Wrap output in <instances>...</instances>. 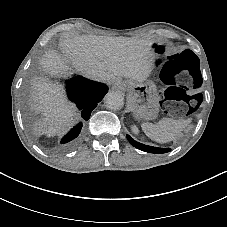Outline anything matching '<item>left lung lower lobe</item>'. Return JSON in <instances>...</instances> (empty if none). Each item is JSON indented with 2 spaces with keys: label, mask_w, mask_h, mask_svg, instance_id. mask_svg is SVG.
Segmentation results:
<instances>
[{
  "label": "left lung lower lobe",
  "mask_w": 227,
  "mask_h": 227,
  "mask_svg": "<svg viewBox=\"0 0 227 227\" xmlns=\"http://www.w3.org/2000/svg\"><path fill=\"white\" fill-rule=\"evenodd\" d=\"M127 139L134 147L145 152L161 154V153H166L170 151L169 148H158V147H152V146L138 143L135 140H133L129 135H127Z\"/></svg>",
  "instance_id": "0a47b994"
}]
</instances>
